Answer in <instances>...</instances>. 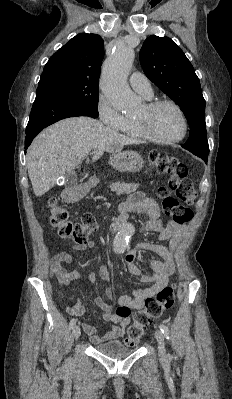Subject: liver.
<instances>
[{
    "mask_svg": "<svg viewBox=\"0 0 232 399\" xmlns=\"http://www.w3.org/2000/svg\"><path fill=\"white\" fill-rule=\"evenodd\" d=\"M138 144V140L122 136L92 118H67L43 130L33 140L27 152V170L35 196H43L54 188L58 178L81 164L79 156L91 150L92 162L104 152L116 154L123 146Z\"/></svg>",
    "mask_w": 232,
    "mask_h": 399,
    "instance_id": "1",
    "label": "liver"
}]
</instances>
